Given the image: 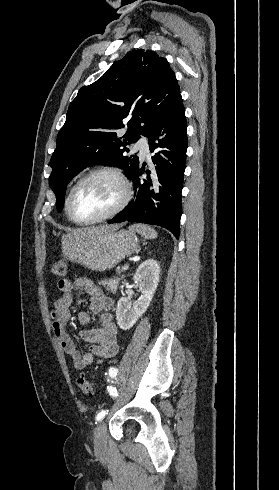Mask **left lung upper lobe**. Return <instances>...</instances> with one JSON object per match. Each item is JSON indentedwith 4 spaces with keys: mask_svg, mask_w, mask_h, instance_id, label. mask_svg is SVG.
Returning a JSON list of instances; mask_svg holds the SVG:
<instances>
[{
    "mask_svg": "<svg viewBox=\"0 0 279 490\" xmlns=\"http://www.w3.org/2000/svg\"><path fill=\"white\" fill-rule=\"evenodd\" d=\"M174 72L163 57L137 49L116 61L96 82L82 87L71 102L51 157L49 184L62 210L66 186L84 168L96 163L113 165L131 177L139 158L127 156L126 145L147 136L179 99ZM127 121L123 136L117 130Z\"/></svg>",
    "mask_w": 279,
    "mask_h": 490,
    "instance_id": "obj_1",
    "label": "left lung upper lobe"
}]
</instances>
